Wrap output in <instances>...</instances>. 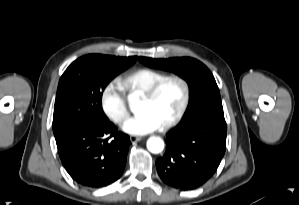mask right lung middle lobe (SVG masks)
Instances as JSON below:
<instances>
[{"mask_svg": "<svg viewBox=\"0 0 299 205\" xmlns=\"http://www.w3.org/2000/svg\"><path fill=\"white\" fill-rule=\"evenodd\" d=\"M132 63L108 58H79L62 75L56 95L53 132L58 140L84 123L109 121L101 98L106 85Z\"/></svg>", "mask_w": 299, "mask_h": 205, "instance_id": "1", "label": "right lung middle lobe"}]
</instances>
